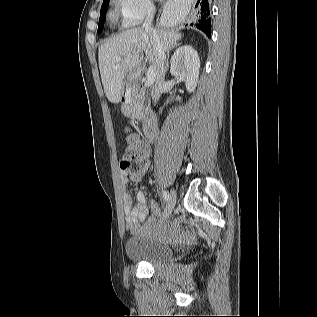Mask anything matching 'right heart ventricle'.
<instances>
[{"instance_id": "obj_1", "label": "right heart ventricle", "mask_w": 317, "mask_h": 317, "mask_svg": "<svg viewBox=\"0 0 317 317\" xmlns=\"http://www.w3.org/2000/svg\"><path fill=\"white\" fill-rule=\"evenodd\" d=\"M110 15H111L112 18H115L117 16V12L116 11H112L110 13Z\"/></svg>"}]
</instances>
